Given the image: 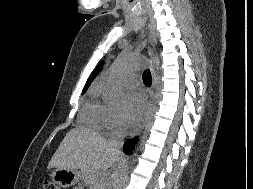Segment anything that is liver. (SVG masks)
<instances>
[{
    "label": "liver",
    "mask_w": 253,
    "mask_h": 189,
    "mask_svg": "<svg viewBox=\"0 0 253 189\" xmlns=\"http://www.w3.org/2000/svg\"><path fill=\"white\" fill-rule=\"evenodd\" d=\"M120 159L121 153L106 139L88 128L76 127L66 134L48 168L80 169L90 189H106L104 174Z\"/></svg>",
    "instance_id": "1"
}]
</instances>
